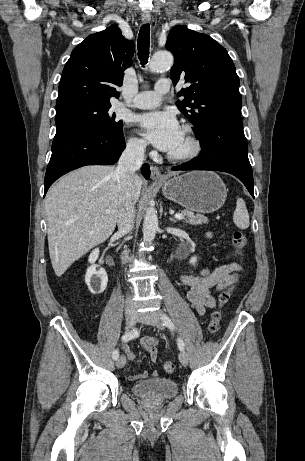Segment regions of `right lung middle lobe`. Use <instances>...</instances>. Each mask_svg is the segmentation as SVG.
<instances>
[{"mask_svg":"<svg viewBox=\"0 0 305 461\" xmlns=\"http://www.w3.org/2000/svg\"><path fill=\"white\" fill-rule=\"evenodd\" d=\"M110 103L79 102L56 108V128L78 126L106 133L122 130V121L109 114Z\"/></svg>","mask_w":305,"mask_h":461,"instance_id":"obj_1","label":"right lung middle lobe"}]
</instances>
